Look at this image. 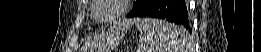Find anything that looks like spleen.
I'll return each mask as SVG.
<instances>
[{
    "instance_id": "1",
    "label": "spleen",
    "mask_w": 261,
    "mask_h": 52,
    "mask_svg": "<svg viewBox=\"0 0 261 52\" xmlns=\"http://www.w3.org/2000/svg\"><path fill=\"white\" fill-rule=\"evenodd\" d=\"M136 27L140 32L142 52H184L191 45L190 38L180 27L158 19H139ZM164 33H171L172 38Z\"/></svg>"
}]
</instances>
